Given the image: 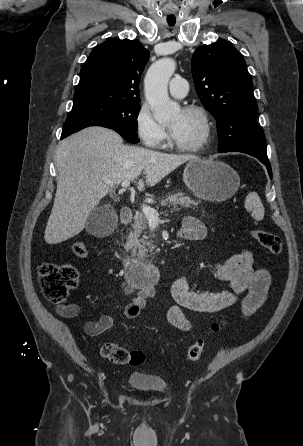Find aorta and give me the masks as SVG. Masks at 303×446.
<instances>
[{"instance_id": "obj_1", "label": "aorta", "mask_w": 303, "mask_h": 446, "mask_svg": "<svg viewBox=\"0 0 303 446\" xmlns=\"http://www.w3.org/2000/svg\"><path fill=\"white\" fill-rule=\"evenodd\" d=\"M175 69L173 59L163 58L151 65L144 79L145 96L158 122L173 118L179 111V106L170 100L167 91L168 82Z\"/></svg>"}]
</instances>
